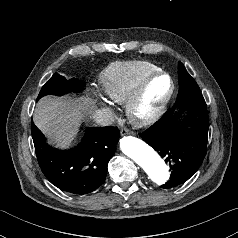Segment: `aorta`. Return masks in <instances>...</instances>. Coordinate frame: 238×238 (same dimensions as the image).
<instances>
[{"label":"aorta","instance_id":"762f6f07","mask_svg":"<svg viewBox=\"0 0 238 238\" xmlns=\"http://www.w3.org/2000/svg\"><path fill=\"white\" fill-rule=\"evenodd\" d=\"M121 151L134 160L157 184L165 183L169 178V169L163 159L142 140L125 136L120 140Z\"/></svg>","mask_w":238,"mask_h":238}]
</instances>
